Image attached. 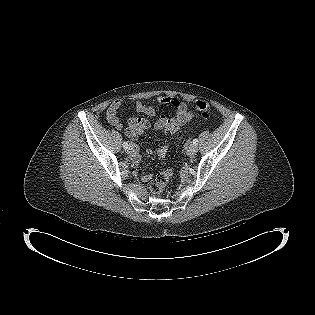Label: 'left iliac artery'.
Returning a JSON list of instances; mask_svg holds the SVG:
<instances>
[{"instance_id":"1","label":"left iliac artery","mask_w":315,"mask_h":315,"mask_svg":"<svg viewBox=\"0 0 315 315\" xmlns=\"http://www.w3.org/2000/svg\"><path fill=\"white\" fill-rule=\"evenodd\" d=\"M193 144H195V145L198 144V139H197V138H195V139L193 140Z\"/></svg>"}]
</instances>
